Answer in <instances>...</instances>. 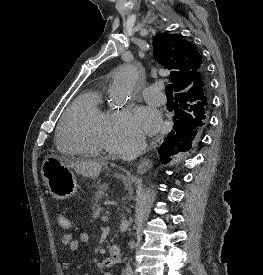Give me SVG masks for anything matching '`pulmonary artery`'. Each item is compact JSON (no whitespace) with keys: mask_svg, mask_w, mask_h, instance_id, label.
Segmentation results:
<instances>
[{"mask_svg":"<svg viewBox=\"0 0 263 275\" xmlns=\"http://www.w3.org/2000/svg\"><path fill=\"white\" fill-rule=\"evenodd\" d=\"M161 90V84L154 83L143 89V98L150 104L157 106L163 105L166 102V99Z\"/></svg>","mask_w":263,"mask_h":275,"instance_id":"1","label":"pulmonary artery"}]
</instances>
